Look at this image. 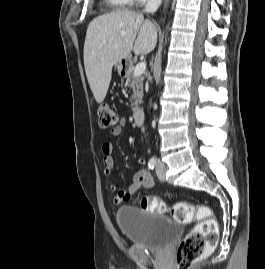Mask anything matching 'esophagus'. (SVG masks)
<instances>
[{"instance_id":"34e87169","label":"esophagus","mask_w":265,"mask_h":269,"mask_svg":"<svg viewBox=\"0 0 265 269\" xmlns=\"http://www.w3.org/2000/svg\"><path fill=\"white\" fill-rule=\"evenodd\" d=\"M169 2H170V0L165 1V8L168 6Z\"/></svg>"}]
</instances>
